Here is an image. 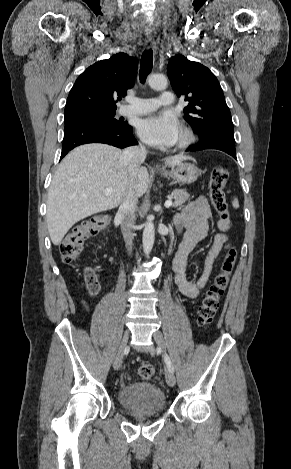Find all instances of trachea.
Segmentation results:
<instances>
[{"mask_svg":"<svg viewBox=\"0 0 291 469\" xmlns=\"http://www.w3.org/2000/svg\"><path fill=\"white\" fill-rule=\"evenodd\" d=\"M153 67V51L152 49L145 50L141 57L140 62V82L145 83L147 76L151 72Z\"/></svg>","mask_w":291,"mask_h":469,"instance_id":"obj_1","label":"trachea"}]
</instances>
